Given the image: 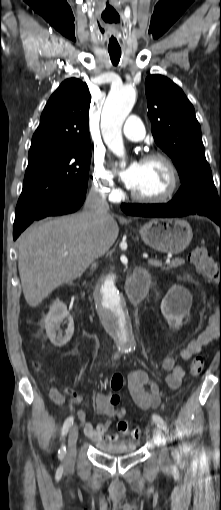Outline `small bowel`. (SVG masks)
I'll return each instance as SVG.
<instances>
[{"mask_svg": "<svg viewBox=\"0 0 221 510\" xmlns=\"http://www.w3.org/2000/svg\"><path fill=\"white\" fill-rule=\"evenodd\" d=\"M220 331L221 311L218 312L215 309L214 313L209 317L208 325L205 330L197 338L191 340L187 346L181 350L179 355L180 360L188 361L198 354L203 347L218 336ZM162 367L167 372L166 384L168 388L171 390L179 388L185 375L184 365L181 362H178L175 356L167 355L163 360ZM126 378L129 395L139 408L147 410L157 408L159 406L165 392L145 371L130 370ZM74 395L77 394L71 392V397ZM78 397L80 403L82 401V397L79 395ZM111 398V396L105 393H98L95 396V404L98 414L104 415L108 418L115 417L117 410L115 408V404L112 403ZM76 414L78 419L84 423L85 434L94 442L106 443L117 439V434L109 433L111 425L110 420L94 425L87 420V414L85 411L79 410ZM118 430L121 433L127 432L125 429H120L119 424ZM106 436L110 437L106 439Z\"/></svg>", "mask_w": 221, "mask_h": 510, "instance_id": "c3829d8e", "label": "small bowel"}]
</instances>
